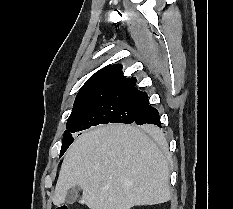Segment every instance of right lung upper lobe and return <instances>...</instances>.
Wrapping results in <instances>:
<instances>
[{"mask_svg": "<svg viewBox=\"0 0 233 209\" xmlns=\"http://www.w3.org/2000/svg\"><path fill=\"white\" fill-rule=\"evenodd\" d=\"M135 84L136 78L123 76L122 65L107 66L94 73L81 87L73 108L106 101L148 105L147 94L138 91Z\"/></svg>", "mask_w": 233, "mask_h": 209, "instance_id": "right-lung-upper-lobe-1", "label": "right lung upper lobe"}]
</instances>
